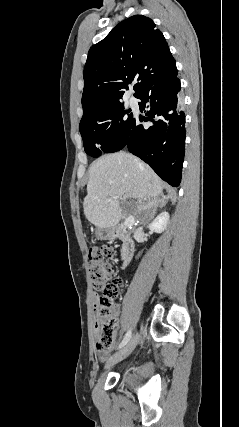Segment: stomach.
I'll list each match as a JSON object with an SVG mask.
<instances>
[{"instance_id": "1", "label": "stomach", "mask_w": 239, "mask_h": 427, "mask_svg": "<svg viewBox=\"0 0 239 427\" xmlns=\"http://www.w3.org/2000/svg\"><path fill=\"white\" fill-rule=\"evenodd\" d=\"M95 236L98 240H109L113 238L114 231L112 228H97L95 230Z\"/></svg>"}]
</instances>
